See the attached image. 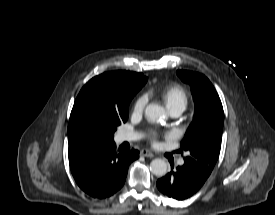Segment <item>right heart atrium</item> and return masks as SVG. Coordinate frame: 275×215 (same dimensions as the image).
Segmentation results:
<instances>
[{
  "label": "right heart atrium",
  "mask_w": 275,
  "mask_h": 215,
  "mask_svg": "<svg viewBox=\"0 0 275 215\" xmlns=\"http://www.w3.org/2000/svg\"><path fill=\"white\" fill-rule=\"evenodd\" d=\"M147 102H148V97L146 94L139 95L133 103V108H132L133 113L141 114L144 111Z\"/></svg>",
  "instance_id": "obj_1"
}]
</instances>
